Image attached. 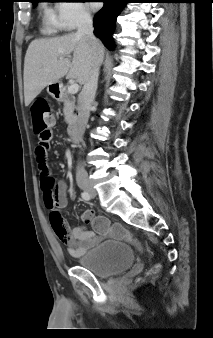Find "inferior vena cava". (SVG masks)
I'll return each instance as SVG.
<instances>
[{"mask_svg":"<svg viewBox=\"0 0 213 338\" xmlns=\"http://www.w3.org/2000/svg\"><path fill=\"white\" fill-rule=\"evenodd\" d=\"M76 35L87 39L93 49L92 70L78 98V130L80 134H83L89 119V110L95 98L99 69L103 62L104 52L93 34L92 19L88 13H82ZM76 179L77 181L88 180L87 172L81 165L77 167Z\"/></svg>","mask_w":213,"mask_h":338,"instance_id":"1","label":"inferior vena cava"}]
</instances>
